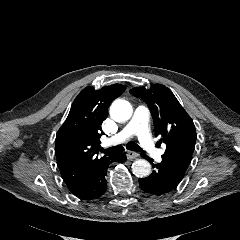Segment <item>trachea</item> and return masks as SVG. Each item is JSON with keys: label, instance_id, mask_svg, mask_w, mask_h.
Listing matches in <instances>:
<instances>
[{"label": "trachea", "instance_id": "3493384b", "mask_svg": "<svg viewBox=\"0 0 240 240\" xmlns=\"http://www.w3.org/2000/svg\"><path fill=\"white\" fill-rule=\"evenodd\" d=\"M127 149L129 150H133V151H142V149L136 144V143H129L127 145ZM123 151V147L122 146H116V147H111L108 149H101V152L106 154V155H112V154H116L119 152Z\"/></svg>", "mask_w": 240, "mask_h": 240}]
</instances>
